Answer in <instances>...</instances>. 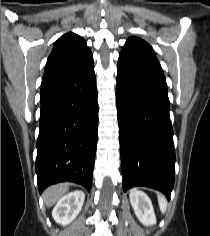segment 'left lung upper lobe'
<instances>
[{
	"mask_svg": "<svg viewBox=\"0 0 210 236\" xmlns=\"http://www.w3.org/2000/svg\"><path fill=\"white\" fill-rule=\"evenodd\" d=\"M119 63L163 73L153 48L147 42L137 37H130L126 41L120 52Z\"/></svg>",
	"mask_w": 210,
	"mask_h": 236,
	"instance_id": "left-lung-upper-lobe-1",
	"label": "left lung upper lobe"
}]
</instances>
